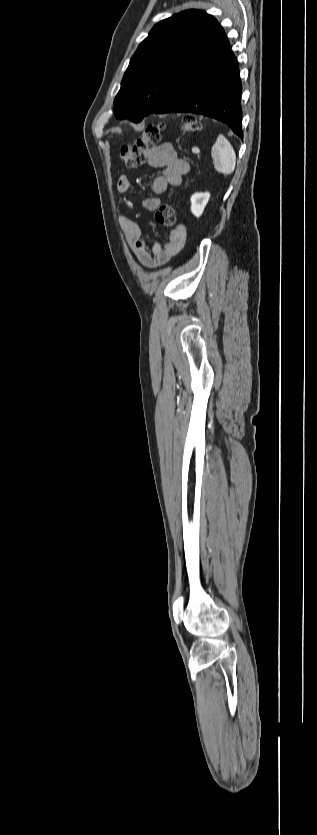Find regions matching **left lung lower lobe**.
<instances>
[{
	"label": "left lung lower lobe",
	"instance_id": "1",
	"mask_svg": "<svg viewBox=\"0 0 317 835\" xmlns=\"http://www.w3.org/2000/svg\"><path fill=\"white\" fill-rule=\"evenodd\" d=\"M235 55L222 27L185 70L171 98L154 114L194 113L227 124L243 138L242 84Z\"/></svg>",
	"mask_w": 317,
	"mask_h": 835
}]
</instances>
